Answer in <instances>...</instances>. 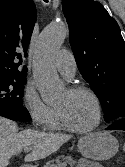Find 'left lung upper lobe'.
Here are the masks:
<instances>
[{
  "instance_id": "5c2ea615",
  "label": "left lung upper lobe",
  "mask_w": 125,
  "mask_h": 167,
  "mask_svg": "<svg viewBox=\"0 0 125 167\" xmlns=\"http://www.w3.org/2000/svg\"><path fill=\"white\" fill-rule=\"evenodd\" d=\"M62 5L78 69L103 105L104 120L125 118V42L116 20L93 0Z\"/></svg>"
}]
</instances>
